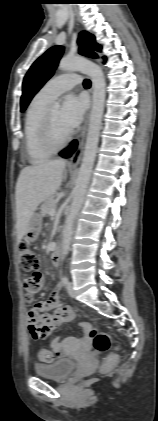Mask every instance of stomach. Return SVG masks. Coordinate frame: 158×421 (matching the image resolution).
Wrapping results in <instances>:
<instances>
[{"instance_id": "1", "label": "stomach", "mask_w": 158, "mask_h": 421, "mask_svg": "<svg viewBox=\"0 0 158 421\" xmlns=\"http://www.w3.org/2000/svg\"><path fill=\"white\" fill-rule=\"evenodd\" d=\"M42 229V214L34 212L25 234V238L29 242H34Z\"/></svg>"}]
</instances>
